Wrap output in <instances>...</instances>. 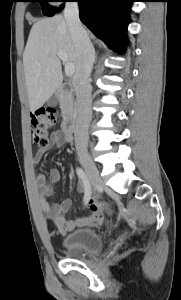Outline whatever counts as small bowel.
Masks as SVG:
<instances>
[{"mask_svg": "<svg viewBox=\"0 0 181 300\" xmlns=\"http://www.w3.org/2000/svg\"><path fill=\"white\" fill-rule=\"evenodd\" d=\"M73 142V136L65 131L58 130L52 133L49 143L46 147L40 148L34 157L35 162H40L46 153L52 147H60L64 144H71ZM61 180V174L57 169H51L48 176L44 173H40L36 176V183L40 188V201L41 208L46 218L54 223L58 232L62 235L67 234L78 227L96 226L98 225L102 217L89 214L86 216L78 217L74 220H67L65 214L72 207V200L67 198L60 204H53L49 201V198L53 195V186ZM78 191H83L81 184L77 185ZM84 203H89L93 198L90 196L86 199L84 195Z\"/></svg>", "mask_w": 181, "mask_h": 300, "instance_id": "small-bowel-1", "label": "small bowel"}]
</instances>
